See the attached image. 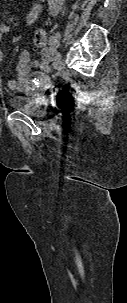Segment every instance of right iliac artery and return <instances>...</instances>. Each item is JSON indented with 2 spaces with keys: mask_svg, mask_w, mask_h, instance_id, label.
<instances>
[{
  "mask_svg": "<svg viewBox=\"0 0 127 303\" xmlns=\"http://www.w3.org/2000/svg\"><path fill=\"white\" fill-rule=\"evenodd\" d=\"M51 55L54 56L56 54V48L54 46L50 47Z\"/></svg>",
  "mask_w": 127,
  "mask_h": 303,
  "instance_id": "obj_1",
  "label": "right iliac artery"
}]
</instances>
